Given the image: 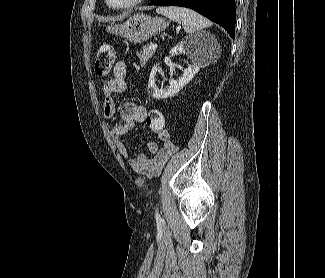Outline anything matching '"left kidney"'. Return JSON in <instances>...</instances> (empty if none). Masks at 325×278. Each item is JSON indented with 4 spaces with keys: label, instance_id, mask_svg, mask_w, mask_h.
I'll return each instance as SVG.
<instances>
[{
    "label": "left kidney",
    "instance_id": "obj_1",
    "mask_svg": "<svg viewBox=\"0 0 325 278\" xmlns=\"http://www.w3.org/2000/svg\"><path fill=\"white\" fill-rule=\"evenodd\" d=\"M206 43L202 39V36L195 35L186 37L178 45L173 47L170 51L171 55L178 53L186 54L188 58L192 59L193 64L184 69V73L181 78L177 80H170L169 87L165 89H159L155 84V78L158 71V67L155 66L149 77L147 91L155 99H166L176 95L186 84H188L196 73L203 66L202 59L205 54Z\"/></svg>",
    "mask_w": 325,
    "mask_h": 278
}]
</instances>
